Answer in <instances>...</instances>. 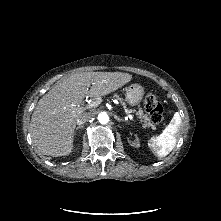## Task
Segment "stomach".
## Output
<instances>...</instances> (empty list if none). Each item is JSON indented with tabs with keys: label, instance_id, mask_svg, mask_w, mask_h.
I'll return each instance as SVG.
<instances>
[{
	"label": "stomach",
	"instance_id": "obj_1",
	"mask_svg": "<svg viewBox=\"0 0 221 221\" xmlns=\"http://www.w3.org/2000/svg\"><path fill=\"white\" fill-rule=\"evenodd\" d=\"M126 101L131 106L138 105L144 95V88L139 84H131L126 88Z\"/></svg>",
	"mask_w": 221,
	"mask_h": 221
}]
</instances>
